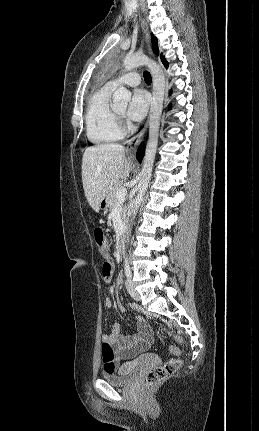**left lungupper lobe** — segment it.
Returning <instances> with one entry per match:
<instances>
[{
  "mask_svg": "<svg viewBox=\"0 0 259 431\" xmlns=\"http://www.w3.org/2000/svg\"><path fill=\"white\" fill-rule=\"evenodd\" d=\"M152 45H153V51L155 54H159V49H158V42L157 39L152 35Z\"/></svg>",
  "mask_w": 259,
  "mask_h": 431,
  "instance_id": "1",
  "label": "left lung upper lobe"
}]
</instances>
